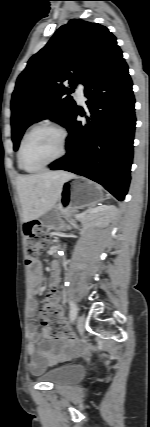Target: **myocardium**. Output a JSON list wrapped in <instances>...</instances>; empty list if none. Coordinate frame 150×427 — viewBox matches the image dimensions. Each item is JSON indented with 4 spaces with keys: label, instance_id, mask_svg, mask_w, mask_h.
<instances>
[{
    "label": "myocardium",
    "instance_id": "myocardium-1",
    "mask_svg": "<svg viewBox=\"0 0 150 427\" xmlns=\"http://www.w3.org/2000/svg\"><path fill=\"white\" fill-rule=\"evenodd\" d=\"M39 130H52V131L56 132L60 138V151L56 157H54L52 160L45 163L44 165L40 166L39 168L28 169L25 167L24 162H23L24 149H25L26 143L29 140V138L35 132H37ZM66 151H67V133L62 127L55 125V124H50V123L38 124V125H35L34 127H32L27 132V134L25 135V137L23 138V140L21 142V145L19 148V154H18L19 164H20V167L23 170H25L26 172H30V173L39 172V171L46 169L48 166L52 165L53 163L57 162L58 160H60L66 154Z\"/></svg>",
    "mask_w": 150,
    "mask_h": 427
}]
</instances>
